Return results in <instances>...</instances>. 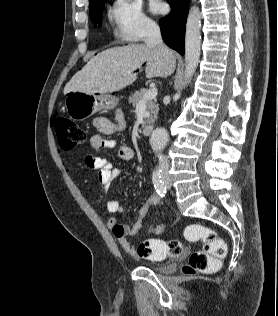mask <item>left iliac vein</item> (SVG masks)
Listing matches in <instances>:
<instances>
[{"instance_id":"4c4485c4","label":"left iliac vein","mask_w":278,"mask_h":316,"mask_svg":"<svg viewBox=\"0 0 278 316\" xmlns=\"http://www.w3.org/2000/svg\"><path fill=\"white\" fill-rule=\"evenodd\" d=\"M164 182H165V185L170 188L171 187V182L169 180V178L167 176L164 177Z\"/></svg>"}]
</instances>
